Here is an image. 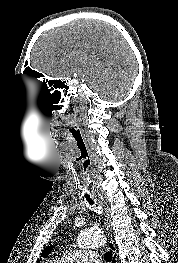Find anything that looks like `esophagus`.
Returning <instances> with one entry per match:
<instances>
[{
  "label": "esophagus",
  "mask_w": 178,
  "mask_h": 263,
  "mask_svg": "<svg viewBox=\"0 0 178 263\" xmlns=\"http://www.w3.org/2000/svg\"><path fill=\"white\" fill-rule=\"evenodd\" d=\"M100 203L104 209L105 212V217H106V222L107 224L110 226L111 224V215L109 213L108 207L106 202L103 200V198H100ZM108 249L112 252L113 254V258H112V263H117V253H116V247L114 244V241L112 240V238L110 239L109 243H108Z\"/></svg>",
  "instance_id": "1"
}]
</instances>
